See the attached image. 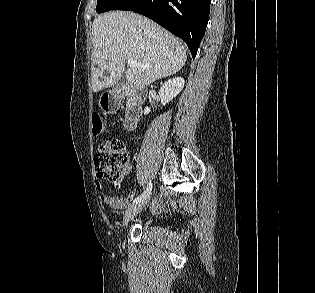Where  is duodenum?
Here are the masks:
<instances>
[{"label": "duodenum", "instance_id": "duodenum-1", "mask_svg": "<svg viewBox=\"0 0 315 293\" xmlns=\"http://www.w3.org/2000/svg\"><path fill=\"white\" fill-rule=\"evenodd\" d=\"M115 92H119V96L127 98V108L125 114V127L128 130L135 128L137 122L142 116V105L147 96V90L140 86H123Z\"/></svg>", "mask_w": 315, "mask_h": 293}]
</instances>
